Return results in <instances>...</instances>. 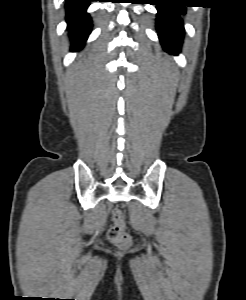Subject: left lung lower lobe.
Returning <instances> with one entry per match:
<instances>
[{"label": "left lung lower lobe", "instance_id": "left-lung-lower-lobe-1", "mask_svg": "<svg viewBox=\"0 0 246 300\" xmlns=\"http://www.w3.org/2000/svg\"><path fill=\"white\" fill-rule=\"evenodd\" d=\"M158 14L156 28L163 48L177 55L180 52L184 36L181 14L186 13V5L177 0H153Z\"/></svg>", "mask_w": 246, "mask_h": 300}]
</instances>
